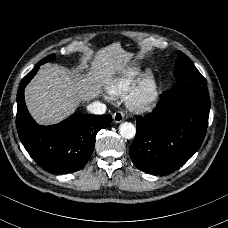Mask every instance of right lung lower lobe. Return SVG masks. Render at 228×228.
<instances>
[{
    "mask_svg": "<svg viewBox=\"0 0 228 228\" xmlns=\"http://www.w3.org/2000/svg\"><path fill=\"white\" fill-rule=\"evenodd\" d=\"M36 65L20 82L17 92L16 127L19 138L33 160L50 173H72L82 169L91 156L99 130L112 122L111 115L74 114L52 126H39L24 101V88L34 77Z\"/></svg>",
    "mask_w": 228,
    "mask_h": 228,
    "instance_id": "obj_1",
    "label": "right lung lower lobe"
}]
</instances>
